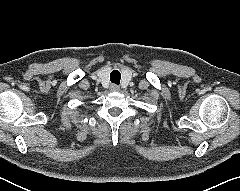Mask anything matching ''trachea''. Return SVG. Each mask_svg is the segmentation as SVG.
Wrapping results in <instances>:
<instances>
[{"label": "trachea", "mask_w": 240, "mask_h": 191, "mask_svg": "<svg viewBox=\"0 0 240 191\" xmlns=\"http://www.w3.org/2000/svg\"><path fill=\"white\" fill-rule=\"evenodd\" d=\"M121 74L118 70H113L110 74V80L112 83L119 84L120 83Z\"/></svg>", "instance_id": "trachea-1"}]
</instances>
